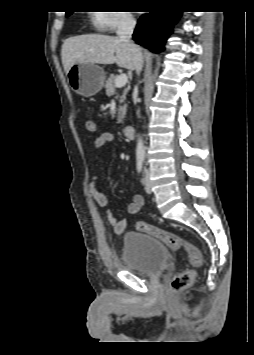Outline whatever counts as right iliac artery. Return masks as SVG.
Masks as SVG:
<instances>
[{
    "label": "right iliac artery",
    "instance_id": "right-iliac-artery-1",
    "mask_svg": "<svg viewBox=\"0 0 254 355\" xmlns=\"http://www.w3.org/2000/svg\"><path fill=\"white\" fill-rule=\"evenodd\" d=\"M143 162H144V157L139 156L137 158V170L139 173L142 171Z\"/></svg>",
    "mask_w": 254,
    "mask_h": 355
}]
</instances>
